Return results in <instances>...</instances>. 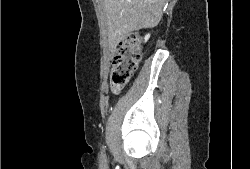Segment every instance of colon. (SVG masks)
Listing matches in <instances>:
<instances>
[{
  "label": "colon",
  "instance_id": "1",
  "mask_svg": "<svg viewBox=\"0 0 250 169\" xmlns=\"http://www.w3.org/2000/svg\"><path fill=\"white\" fill-rule=\"evenodd\" d=\"M128 38H121L113 57L109 72V85L114 93L121 92L138 69L141 59V44L138 42L139 34H128ZM148 43V38H143Z\"/></svg>",
  "mask_w": 250,
  "mask_h": 169
}]
</instances>
